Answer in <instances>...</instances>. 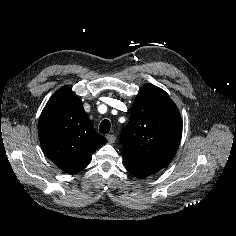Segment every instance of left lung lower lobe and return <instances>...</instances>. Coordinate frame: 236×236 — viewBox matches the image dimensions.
Segmentation results:
<instances>
[{"instance_id":"0a47b994","label":"left lung lower lobe","mask_w":236,"mask_h":236,"mask_svg":"<svg viewBox=\"0 0 236 236\" xmlns=\"http://www.w3.org/2000/svg\"><path fill=\"white\" fill-rule=\"evenodd\" d=\"M123 154V160L127 170L137 178H146L152 174L157 173L164 166L146 162L137 158H134L128 154Z\"/></svg>"}]
</instances>
